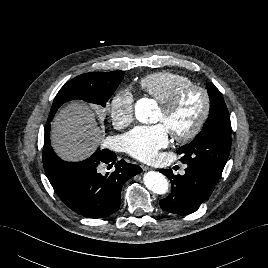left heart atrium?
Returning a JSON list of instances; mask_svg holds the SVG:
<instances>
[{
    "mask_svg": "<svg viewBox=\"0 0 268 268\" xmlns=\"http://www.w3.org/2000/svg\"><path fill=\"white\" fill-rule=\"evenodd\" d=\"M125 151L132 157L145 161H153L159 150L168 145V131L163 124L137 126L123 136Z\"/></svg>",
    "mask_w": 268,
    "mask_h": 268,
    "instance_id": "obj_1",
    "label": "left heart atrium"
}]
</instances>
